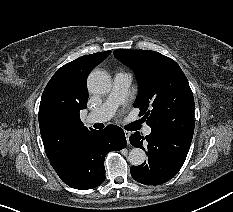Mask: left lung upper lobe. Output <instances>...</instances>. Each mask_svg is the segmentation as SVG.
Segmentation results:
<instances>
[{"instance_id":"5c2ea615","label":"left lung upper lobe","mask_w":233,"mask_h":212,"mask_svg":"<svg viewBox=\"0 0 233 212\" xmlns=\"http://www.w3.org/2000/svg\"><path fill=\"white\" fill-rule=\"evenodd\" d=\"M116 58L136 73L139 91L134 107L152 131L193 136L194 98L179 65L151 50L117 49Z\"/></svg>"}]
</instances>
